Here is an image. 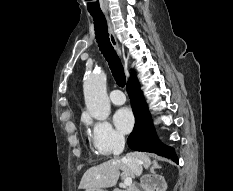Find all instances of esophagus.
I'll return each instance as SVG.
<instances>
[{
	"mask_svg": "<svg viewBox=\"0 0 233 191\" xmlns=\"http://www.w3.org/2000/svg\"><path fill=\"white\" fill-rule=\"evenodd\" d=\"M107 21H108V30H109V38H110V42L113 45V47L119 51V46H118V42L116 40V37L114 35L113 29H112V25L110 23L109 18L107 17Z\"/></svg>",
	"mask_w": 233,
	"mask_h": 191,
	"instance_id": "obj_1",
	"label": "esophagus"
}]
</instances>
